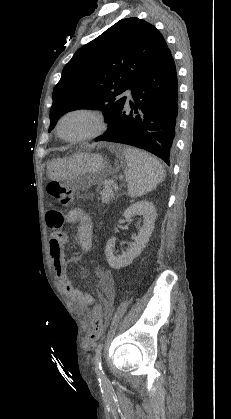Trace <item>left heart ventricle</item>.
Masks as SVG:
<instances>
[{"mask_svg":"<svg viewBox=\"0 0 231 419\" xmlns=\"http://www.w3.org/2000/svg\"><path fill=\"white\" fill-rule=\"evenodd\" d=\"M95 128L94 120L85 114H72L61 124V133L65 137H79Z\"/></svg>","mask_w":231,"mask_h":419,"instance_id":"left-heart-ventricle-1","label":"left heart ventricle"}]
</instances>
